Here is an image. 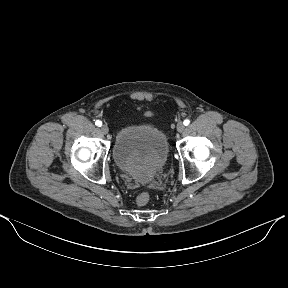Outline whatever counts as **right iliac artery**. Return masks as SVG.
I'll return each instance as SVG.
<instances>
[{"label":"right iliac artery","mask_w":288,"mask_h":288,"mask_svg":"<svg viewBox=\"0 0 288 288\" xmlns=\"http://www.w3.org/2000/svg\"><path fill=\"white\" fill-rule=\"evenodd\" d=\"M95 125L98 126V127H101L102 126V121L96 120Z\"/></svg>","instance_id":"82829eb1"}]
</instances>
